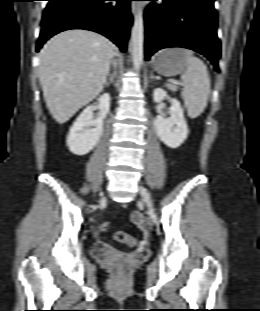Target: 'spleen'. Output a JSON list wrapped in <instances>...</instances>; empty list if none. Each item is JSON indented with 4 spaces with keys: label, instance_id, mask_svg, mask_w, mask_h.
Wrapping results in <instances>:
<instances>
[{
    "label": "spleen",
    "instance_id": "3e777b00",
    "mask_svg": "<svg viewBox=\"0 0 260 311\" xmlns=\"http://www.w3.org/2000/svg\"><path fill=\"white\" fill-rule=\"evenodd\" d=\"M188 67L182 74L181 80L184 86L181 93L187 108L188 116L192 119L203 113L207 106L210 94V78L207 66L204 62L193 56L191 50H185Z\"/></svg>",
    "mask_w": 260,
    "mask_h": 311
}]
</instances>
